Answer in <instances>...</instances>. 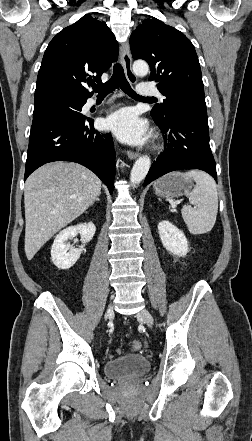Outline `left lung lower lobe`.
<instances>
[{
  "label": "left lung lower lobe",
  "instance_id": "obj_1",
  "mask_svg": "<svg viewBox=\"0 0 252 441\" xmlns=\"http://www.w3.org/2000/svg\"><path fill=\"white\" fill-rule=\"evenodd\" d=\"M154 121L165 134V147L152 164L144 186L168 172L181 169H200L217 181L207 113L185 107L171 114L166 122Z\"/></svg>",
  "mask_w": 252,
  "mask_h": 441
}]
</instances>
